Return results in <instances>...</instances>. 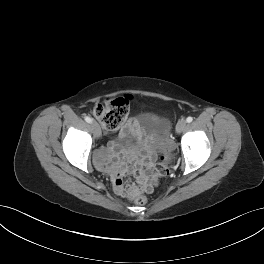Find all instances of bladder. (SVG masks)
I'll list each match as a JSON object with an SVG mask.
<instances>
[{
    "instance_id": "bladder-1",
    "label": "bladder",
    "mask_w": 264,
    "mask_h": 264,
    "mask_svg": "<svg viewBox=\"0 0 264 264\" xmlns=\"http://www.w3.org/2000/svg\"><path fill=\"white\" fill-rule=\"evenodd\" d=\"M170 130L171 123L166 117L144 113L137 119L133 128L116 136L115 142L126 147H134L141 139H147L155 151L162 152L165 151V143Z\"/></svg>"
}]
</instances>
